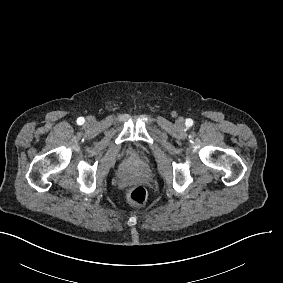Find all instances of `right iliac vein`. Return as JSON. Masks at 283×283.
<instances>
[{"mask_svg":"<svg viewBox=\"0 0 283 283\" xmlns=\"http://www.w3.org/2000/svg\"><path fill=\"white\" fill-rule=\"evenodd\" d=\"M95 122L94 117H88L86 120V124H93Z\"/></svg>","mask_w":283,"mask_h":283,"instance_id":"63e3f726","label":"right iliac vein"}]
</instances>
